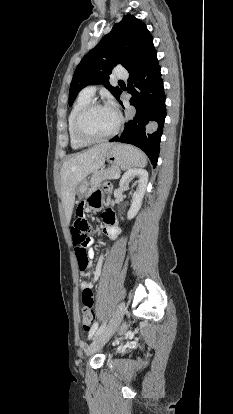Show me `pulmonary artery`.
<instances>
[{"mask_svg":"<svg viewBox=\"0 0 233 414\" xmlns=\"http://www.w3.org/2000/svg\"><path fill=\"white\" fill-rule=\"evenodd\" d=\"M116 78H120V79H125L128 77V72L124 69H117L114 73ZM84 94L92 97L94 95L95 92V87L94 86H88L86 87L83 91Z\"/></svg>","mask_w":233,"mask_h":414,"instance_id":"1","label":"pulmonary artery"}]
</instances>
